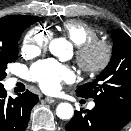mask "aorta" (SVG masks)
<instances>
[{
  "label": "aorta",
  "mask_w": 131,
  "mask_h": 131,
  "mask_svg": "<svg viewBox=\"0 0 131 131\" xmlns=\"http://www.w3.org/2000/svg\"><path fill=\"white\" fill-rule=\"evenodd\" d=\"M67 49L68 43L62 38L53 39L49 45L51 54L59 58H62L67 53ZM56 114L60 119H70L73 117L74 109L69 103H60L56 108Z\"/></svg>",
  "instance_id": "aorta-1"
}]
</instances>
